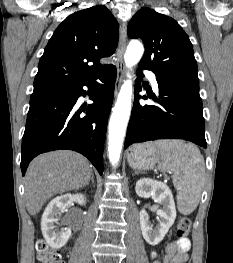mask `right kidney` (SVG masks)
Returning <instances> with one entry per match:
<instances>
[{
    "label": "right kidney",
    "mask_w": 233,
    "mask_h": 263,
    "mask_svg": "<svg viewBox=\"0 0 233 263\" xmlns=\"http://www.w3.org/2000/svg\"><path fill=\"white\" fill-rule=\"evenodd\" d=\"M73 202L79 205L86 203V198L83 194H65L52 199L46 207L41 221V230L46 243L53 249L63 247L71 236L70 228L58 229V221L61 214Z\"/></svg>",
    "instance_id": "1"
}]
</instances>
